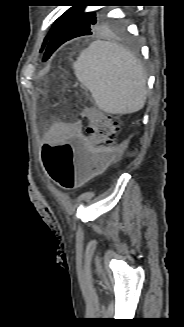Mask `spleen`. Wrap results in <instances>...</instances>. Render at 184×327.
Masks as SVG:
<instances>
[{
  "mask_svg": "<svg viewBox=\"0 0 184 327\" xmlns=\"http://www.w3.org/2000/svg\"><path fill=\"white\" fill-rule=\"evenodd\" d=\"M73 70L101 110L126 114L143 108L146 75L138 59L123 46L94 41L80 53Z\"/></svg>",
  "mask_w": 184,
  "mask_h": 327,
  "instance_id": "obj_1",
  "label": "spleen"
}]
</instances>
